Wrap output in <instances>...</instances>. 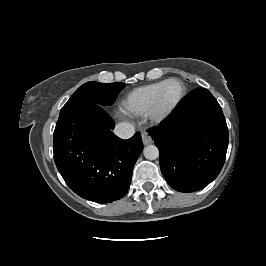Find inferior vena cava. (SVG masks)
Masks as SVG:
<instances>
[{
    "mask_svg": "<svg viewBox=\"0 0 266 266\" xmlns=\"http://www.w3.org/2000/svg\"><path fill=\"white\" fill-rule=\"evenodd\" d=\"M114 133L122 139H129L135 134V128L130 123L122 122L115 126Z\"/></svg>",
    "mask_w": 266,
    "mask_h": 266,
    "instance_id": "obj_1",
    "label": "inferior vena cava"
}]
</instances>
